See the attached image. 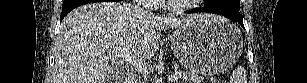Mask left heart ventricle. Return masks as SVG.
Instances as JSON below:
<instances>
[{"label": "left heart ventricle", "mask_w": 307, "mask_h": 83, "mask_svg": "<svg viewBox=\"0 0 307 83\" xmlns=\"http://www.w3.org/2000/svg\"><path fill=\"white\" fill-rule=\"evenodd\" d=\"M170 2H172V3H185V2H189V0H171Z\"/></svg>", "instance_id": "left-heart-ventricle-1"}]
</instances>
